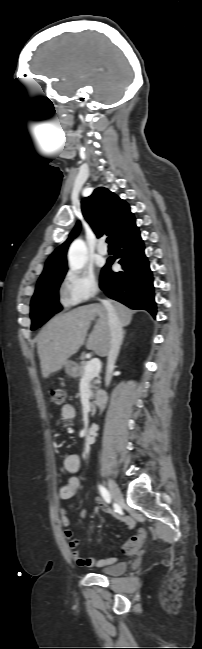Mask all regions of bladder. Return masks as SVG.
<instances>
[{
    "mask_svg": "<svg viewBox=\"0 0 202 649\" xmlns=\"http://www.w3.org/2000/svg\"><path fill=\"white\" fill-rule=\"evenodd\" d=\"M127 569V563L120 561L101 569L99 572L104 575L116 576L123 574Z\"/></svg>",
    "mask_w": 202,
    "mask_h": 649,
    "instance_id": "31cf9c89",
    "label": "bladder"
}]
</instances>
